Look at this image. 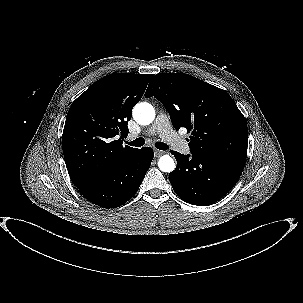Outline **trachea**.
<instances>
[{"mask_svg": "<svg viewBox=\"0 0 303 303\" xmlns=\"http://www.w3.org/2000/svg\"><path fill=\"white\" fill-rule=\"evenodd\" d=\"M127 144H129L131 146H135V147H141L145 144V140L143 138L139 137V138L135 139L134 141L127 142ZM155 146L159 150H167L168 149V146L163 142H156Z\"/></svg>", "mask_w": 303, "mask_h": 303, "instance_id": "trachea-1", "label": "trachea"}]
</instances>
